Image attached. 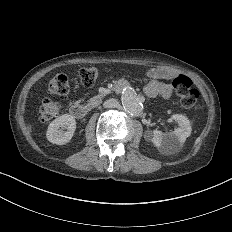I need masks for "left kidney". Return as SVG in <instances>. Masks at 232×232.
<instances>
[{"label": "left kidney", "instance_id": "1", "mask_svg": "<svg viewBox=\"0 0 232 232\" xmlns=\"http://www.w3.org/2000/svg\"><path fill=\"white\" fill-rule=\"evenodd\" d=\"M172 118L178 123L179 126L178 128L174 129V131L167 134L159 130L153 131L152 142L159 150L182 147L187 137H189L191 134L192 128L190 121L186 116L174 114Z\"/></svg>", "mask_w": 232, "mask_h": 232}]
</instances>
